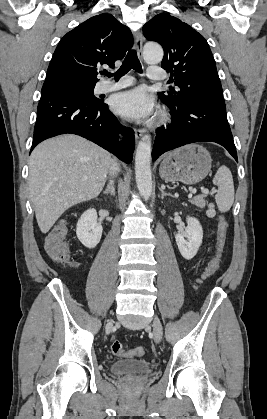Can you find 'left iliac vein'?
Masks as SVG:
<instances>
[{
  "mask_svg": "<svg viewBox=\"0 0 267 419\" xmlns=\"http://www.w3.org/2000/svg\"><path fill=\"white\" fill-rule=\"evenodd\" d=\"M152 326H153L154 340L156 343H159L162 339L163 331H162L161 322L157 316L154 317Z\"/></svg>",
  "mask_w": 267,
  "mask_h": 419,
  "instance_id": "1",
  "label": "left iliac vein"
}]
</instances>
